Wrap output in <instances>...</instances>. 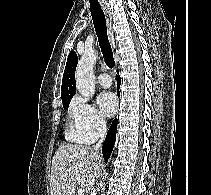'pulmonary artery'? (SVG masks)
Returning <instances> with one entry per match:
<instances>
[{
  "label": "pulmonary artery",
  "mask_w": 211,
  "mask_h": 195,
  "mask_svg": "<svg viewBox=\"0 0 211 195\" xmlns=\"http://www.w3.org/2000/svg\"><path fill=\"white\" fill-rule=\"evenodd\" d=\"M98 83L103 87V88H109L112 85V80L111 77L106 74H100L98 76Z\"/></svg>",
  "instance_id": "e3ab8cb5"
}]
</instances>
